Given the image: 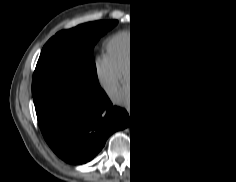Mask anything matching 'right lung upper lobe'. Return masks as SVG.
<instances>
[{
    "instance_id": "right-lung-upper-lobe-1",
    "label": "right lung upper lobe",
    "mask_w": 236,
    "mask_h": 182,
    "mask_svg": "<svg viewBox=\"0 0 236 182\" xmlns=\"http://www.w3.org/2000/svg\"><path fill=\"white\" fill-rule=\"evenodd\" d=\"M97 22H118L117 20H110V21H97Z\"/></svg>"
}]
</instances>
